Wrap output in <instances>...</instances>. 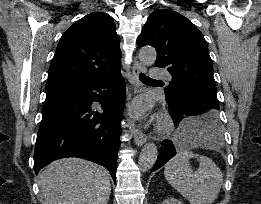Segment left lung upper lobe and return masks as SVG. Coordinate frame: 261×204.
Listing matches in <instances>:
<instances>
[{"label": "left lung upper lobe", "instance_id": "5c2ea615", "mask_svg": "<svg viewBox=\"0 0 261 204\" xmlns=\"http://www.w3.org/2000/svg\"><path fill=\"white\" fill-rule=\"evenodd\" d=\"M137 43L153 46L157 51L155 65L166 68L172 75L165 88L167 102L192 93L219 108L208 46L190 20L172 10H155L148 17Z\"/></svg>", "mask_w": 261, "mask_h": 204}]
</instances>
